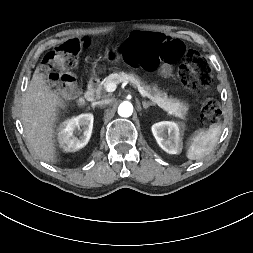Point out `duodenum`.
<instances>
[{
    "instance_id": "obj_1",
    "label": "duodenum",
    "mask_w": 253,
    "mask_h": 253,
    "mask_svg": "<svg viewBox=\"0 0 253 253\" xmlns=\"http://www.w3.org/2000/svg\"><path fill=\"white\" fill-rule=\"evenodd\" d=\"M99 80L93 78L89 81L87 91L85 94L79 98V104L85 105L90 102H94L98 99V92H99Z\"/></svg>"
}]
</instances>
